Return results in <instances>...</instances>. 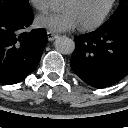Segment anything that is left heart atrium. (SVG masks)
<instances>
[{
    "instance_id": "left-heart-atrium-1",
    "label": "left heart atrium",
    "mask_w": 128,
    "mask_h": 128,
    "mask_svg": "<svg viewBox=\"0 0 128 128\" xmlns=\"http://www.w3.org/2000/svg\"><path fill=\"white\" fill-rule=\"evenodd\" d=\"M36 25L52 32H64L75 29L79 23L70 11L61 13H46L36 18Z\"/></svg>"
}]
</instances>
